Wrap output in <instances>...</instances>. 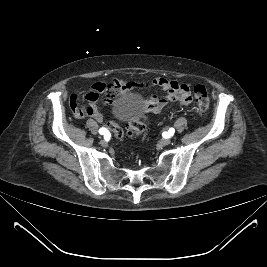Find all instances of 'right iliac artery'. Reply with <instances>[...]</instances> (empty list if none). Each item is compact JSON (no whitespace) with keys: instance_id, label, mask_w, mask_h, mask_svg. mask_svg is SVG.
Segmentation results:
<instances>
[{"instance_id":"obj_1","label":"right iliac artery","mask_w":267,"mask_h":267,"mask_svg":"<svg viewBox=\"0 0 267 267\" xmlns=\"http://www.w3.org/2000/svg\"><path fill=\"white\" fill-rule=\"evenodd\" d=\"M99 133L102 134V135H103V134H108V135H109L107 129H105V128H100V129H99Z\"/></svg>"}]
</instances>
